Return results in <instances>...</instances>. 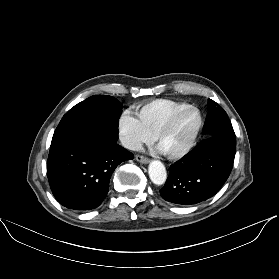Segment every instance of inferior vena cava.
Masks as SVG:
<instances>
[{"instance_id": "obj_1", "label": "inferior vena cava", "mask_w": 279, "mask_h": 279, "mask_svg": "<svg viewBox=\"0 0 279 279\" xmlns=\"http://www.w3.org/2000/svg\"><path fill=\"white\" fill-rule=\"evenodd\" d=\"M122 145L130 150L139 151L142 148L141 142L132 138H122Z\"/></svg>"}]
</instances>
